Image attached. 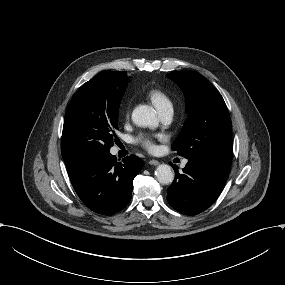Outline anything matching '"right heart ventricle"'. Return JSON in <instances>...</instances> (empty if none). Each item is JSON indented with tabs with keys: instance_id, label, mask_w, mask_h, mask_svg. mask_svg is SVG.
Returning a JSON list of instances; mask_svg holds the SVG:
<instances>
[{
	"instance_id": "e07e8e85",
	"label": "right heart ventricle",
	"mask_w": 285,
	"mask_h": 285,
	"mask_svg": "<svg viewBox=\"0 0 285 285\" xmlns=\"http://www.w3.org/2000/svg\"><path fill=\"white\" fill-rule=\"evenodd\" d=\"M146 95L159 110L172 106L169 94L161 87H150Z\"/></svg>"
}]
</instances>
